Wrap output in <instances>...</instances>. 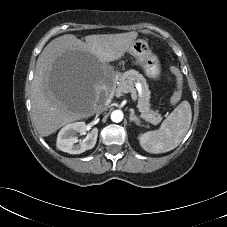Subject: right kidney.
Wrapping results in <instances>:
<instances>
[{
  "instance_id": "right-kidney-1",
  "label": "right kidney",
  "mask_w": 227,
  "mask_h": 227,
  "mask_svg": "<svg viewBox=\"0 0 227 227\" xmlns=\"http://www.w3.org/2000/svg\"><path fill=\"white\" fill-rule=\"evenodd\" d=\"M86 127L85 122H75L64 126L57 136V148L69 154H80L92 149L97 141V128H93L85 139L78 142L77 134H85Z\"/></svg>"
}]
</instances>
